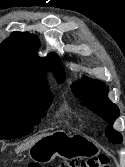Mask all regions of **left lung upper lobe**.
<instances>
[{
  "mask_svg": "<svg viewBox=\"0 0 125 167\" xmlns=\"http://www.w3.org/2000/svg\"><path fill=\"white\" fill-rule=\"evenodd\" d=\"M73 93L82 104L87 106L94 113L98 114L108 122L105 134L112 143H121L122 135L113 130L112 124L119 116L118 107L107 97V89L104 84L95 80H86L83 87L72 86Z\"/></svg>",
  "mask_w": 125,
  "mask_h": 167,
  "instance_id": "obj_1",
  "label": "left lung upper lobe"
}]
</instances>
